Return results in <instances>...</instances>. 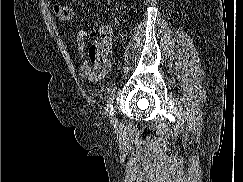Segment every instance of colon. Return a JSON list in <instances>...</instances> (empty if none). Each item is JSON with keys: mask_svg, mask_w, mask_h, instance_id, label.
Returning a JSON list of instances; mask_svg holds the SVG:
<instances>
[{"mask_svg": "<svg viewBox=\"0 0 243 182\" xmlns=\"http://www.w3.org/2000/svg\"><path fill=\"white\" fill-rule=\"evenodd\" d=\"M54 10L57 16L62 20H71L74 16L73 8L68 3H57L54 5ZM99 41L96 45L95 52L98 55L109 57L112 52L111 36L106 30L98 32Z\"/></svg>", "mask_w": 243, "mask_h": 182, "instance_id": "colon-1", "label": "colon"}]
</instances>
